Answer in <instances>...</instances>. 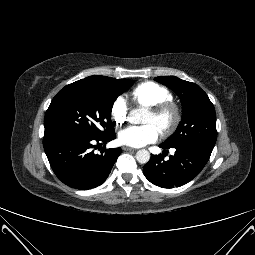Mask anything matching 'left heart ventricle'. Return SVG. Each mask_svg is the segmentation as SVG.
I'll return each instance as SVG.
<instances>
[{"label":"left heart ventricle","instance_id":"b2bd125f","mask_svg":"<svg viewBox=\"0 0 255 255\" xmlns=\"http://www.w3.org/2000/svg\"><path fill=\"white\" fill-rule=\"evenodd\" d=\"M166 118L157 117L152 111H148L143 122L146 124H153L161 129L162 125L165 123Z\"/></svg>","mask_w":255,"mask_h":255}]
</instances>
